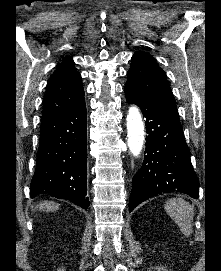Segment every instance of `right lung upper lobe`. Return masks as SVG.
<instances>
[{"mask_svg":"<svg viewBox=\"0 0 221 271\" xmlns=\"http://www.w3.org/2000/svg\"><path fill=\"white\" fill-rule=\"evenodd\" d=\"M84 102L81 76L74 68L73 60L65 57L48 81L42 118L73 110Z\"/></svg>","mask_w":221,"mask_h":271,"instance_id":"right-lung-upper-lobe-1","label":"right lung upper lobe"}]
</instances>
